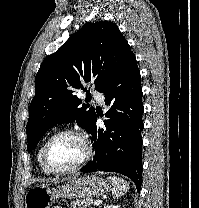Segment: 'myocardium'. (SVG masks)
<instances>
[{"mask_svg": "<svg viewBox=\"0 0 199 208\" xmlns=\"http://www.w3.org/2000/svg\"><path fill=\"white\" fill-rule=\"evenodd\" d=\"M63 135H73L76 136L82 143V145L84 146L85 149V153L83 158L76 163L75 165L69 167V168H56L54 167L50 160H49V155H48V151L49 148L52 144V142L57 139L60 136ZM93 155V148L92 145L88 139V137L86 136V134L84 132H82L79 129L76 128H66V129H62L54 134H52L47 141L44 144L43 147V161L45 166L54 174H69L72 172H75L77 170H79L80 168H82L92 157Z\"/></svg>", "mask_w": 199, "mask_h": 208, "instance_id": "1", "label": "myocardium"}]
</instances>
